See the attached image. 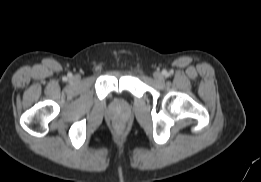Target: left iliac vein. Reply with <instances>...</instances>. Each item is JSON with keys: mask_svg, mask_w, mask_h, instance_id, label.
I'll use <instances>...</instances> for the list:
<instances>
[{"mask_svg": "<svg viewBox=\"0 0 261 182\" xmlns=\"http://www.w3.org/2000/svg\"><path fill=\"white\" fill-rule=\"evenodd\" d=\"M154 79L156 81H162L163 80V75L160 72H155L154 73Z\"/></svg>", "mask_w": 261, "mask_h": 182, "instance_id": "1", "label": "left iliac vein"}]
</instances>
